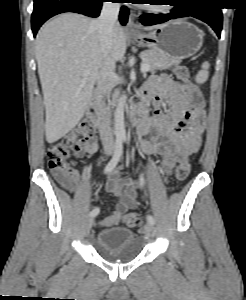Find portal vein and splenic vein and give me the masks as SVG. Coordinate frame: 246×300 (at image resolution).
Instances as JSON below:
<instances>
[{"instance_id":"obj_1","label":"portal vein and splenic vein","mask_w":246,"mask_h":300,"mask_svg":"<svg viewBox=\"0 0 246 300\" xmlns=\"http://www.w3.org/2000/svg\"><path fill=\"white\" fill-rule=\"evenodd\" d=\"M149 71V65L148 64H142L141 65V72H143V73H146V72H148ZM90 74V71L89 70H85L84 72H83V75L84 76H88Z\"/></svg>"}]
</instances>
